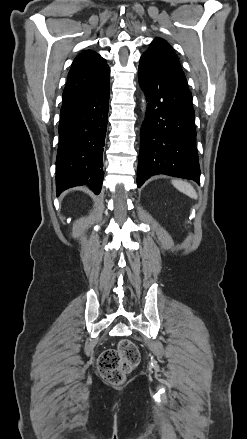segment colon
<instances>
[{
  "instance_id": "5ec220e1",
  "label": "colon",
  "mask_w": 247,
  "mask_h": 439,
  "mask_svg": "<svg viewBox=\"0 0 247 439\" xmlns=\"http://www.w3.org/2000/svg\"><path fill=\"white\" fill-rule=\"evenodd\" d=\"M140 354L137 346L128 339L119 342L116 349H107L98 359V370L108 383L120 385L138 365Z\"/></svg>"
}]
</instances>
